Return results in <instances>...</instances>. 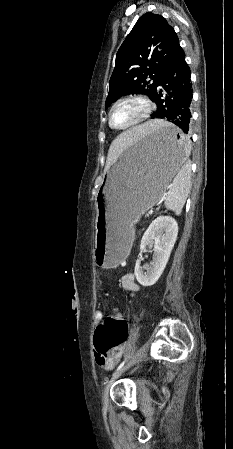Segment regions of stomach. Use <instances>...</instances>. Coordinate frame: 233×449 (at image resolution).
<instances>
[{"instance_id": "0dacf381", "label": "stomach", "mask_w": 233, "mask_h": 449, "mask_svg": "<svg viewBox=\"0 0 233 449\" xmlns=\"http://www.w3.org/2000/svg\"><path fill=\"white\" fill-rule=\"evenodd\" d=\"M187 137L170 123L147 133L107 172L98 196L95 261L102 268L119 265L134 240L140 217L164 195L187 158Z\"/></svg>"}]
</instances>
